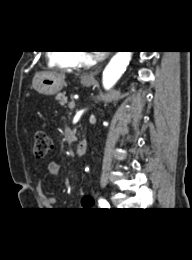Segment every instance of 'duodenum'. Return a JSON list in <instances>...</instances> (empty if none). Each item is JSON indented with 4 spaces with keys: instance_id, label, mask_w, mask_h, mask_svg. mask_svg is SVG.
Listing matches in <instances>:
<instances>
[{
    "instance_id": "obj_1",
    "label": "duodenum",
    "mask_w": 192,
    "mask_h": 260,
    "mask_svg": "<svg viewBox=\"0 0 192 260\" xmlns=\"http://www.w3.org/2000/svg\"><path fill=\"white\" fill-rule=\"evenodd\" d=\"M88 149V143L86 140H82L76 147L75 154L79 157H82L86 154Z\"/></svg>"
}]
</instances>
